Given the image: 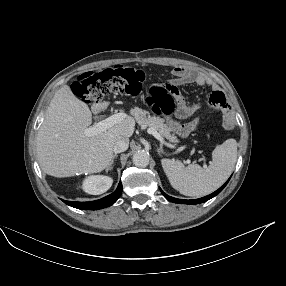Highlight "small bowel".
<instances>
[{
    "label": "small bowel",
    "instance_id": "small-bowel-1",
    "mask_svg": "<svg viewBox=\"0 0 286 286\" xmlns=\"http://www.w3.org/2000/svg\"><path fill=\"white\" fill-rule=\"evenodd\" d=\"M172 75L173 78L170 81V86L174 89V98L176 101L175 114L180 119H188L192 117L203 106V104L200 102L187 103L185 98L179 92L178 87L188 84L205 86L211 85L212 83L205 73L192 70L185 66L175 67L172 70ZM206 104L223 112L228 110V103L224 94L217 89H213L210 93L206 100Z\"/></svg>",
    "mask_w": 286,
    "mask_h": 286
}]
</instances>
